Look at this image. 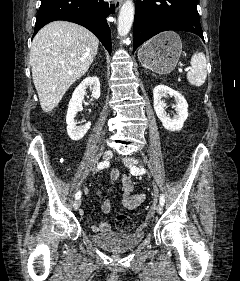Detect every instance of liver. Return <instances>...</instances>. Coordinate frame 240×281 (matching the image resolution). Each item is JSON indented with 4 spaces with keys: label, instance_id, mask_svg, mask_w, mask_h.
Wrapping results in <instances>:
<instances>
[{
    "label": "liver",
    "instance_id": "liver-1",
    "mask_svg": "<svg viewBox=\"0 0 240 281\" xmlns=\"http://www.w3.org/2000/svg\"><path fill=\"white\" fill-rule=\"evenodd\" d=\"M99 40L86 28L54 21L34 37L30 50L32 78L44 112L52 111L69 87L89 69Z\"/></svg>",
    "mask_w": 240,
    "mask_h": 281
}]
</instances>
